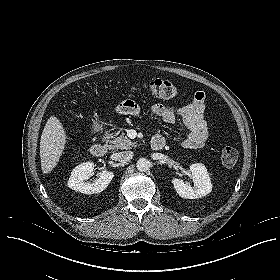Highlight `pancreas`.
<instances>
[{
  "label": "pancreas",
  "instance_id": "pancreas-1",
  "mask_svg": "<svg viewBox=\"0 0 280 280\" xmlns=\"http://www.w3.org/2000/svg\"><path fill=\"white\" fill-rule=\"evenodd\" d=\"M118 134L119 133H105V139L110 143L109 147L111 149L127 150L137 145L136 142H132L127 136H125V133H121V135Z\"/></svg>",
  "mask_w": 280,
  "mask_h": 280
}]
</instances>
